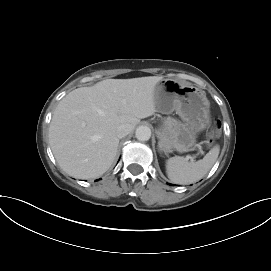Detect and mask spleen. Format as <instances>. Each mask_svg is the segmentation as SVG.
<instances>
[{
  "mask_svg": "<svg viewBox=\"0 0 271 271\" xmlns=\"http://www.w3.org/2000/svg\"><path fill=\"white\" fill-rule=\"evenodd\" d=\"M220 152L218 145L214 146L206 156L196 162H188L186 158L175 156L166 161L168 178L175 184H191L202 179L216 162Z\"/></svg>",
  "mask_w": 271,
  "mask_h": 271,
  "instance_id": "obj_1",
  "label": "spleen"
}]
</instances>
